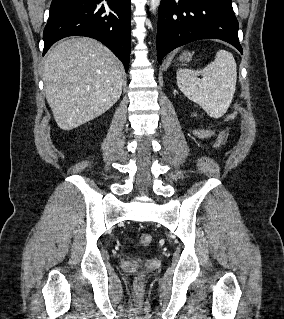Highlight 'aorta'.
<instances>
[{"instance_id": "762f6f07", "label": "aorta", "mask_w": 284, "mask_h": 319, "mask_svg": "<svg viewBox=\"0 0 284 319\" xmlns=\"http://www.w3.org/2000/svg\"><path fill=\"white\" fill-rule=\"evenodd\" d=\"M161 0H150V11L155 13L160 5Z\"/></svg>"}]
</instances>
